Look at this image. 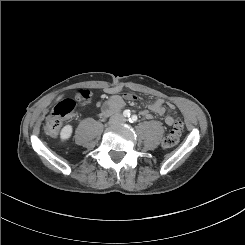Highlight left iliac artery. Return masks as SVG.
I'll return each mask as SVG.
<instances>
[{
	"label": "left iliac artery",
	"mask_w": 245,
	"mask_h": 245,
	"mask_svg": "<svg viewBox=\"0 0 245 245\" xmlns=\"http://www.w3.org/2000/svg\"><path fill=\"white\" fill-rule=\"evenodd\" d=\"M137 120H138L137 115H132V116L130 117V119H129V121H130L131 123H134V122H136Z\"/></svg>",
	"instance_id": "44dca946"
}]
</instances>
